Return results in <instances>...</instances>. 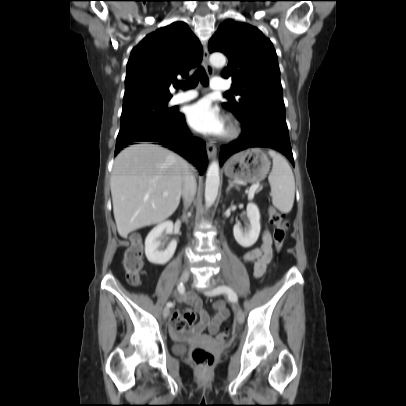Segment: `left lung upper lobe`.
I'll list each match as a JSON object with an SVG mask.
<instances>
[{
  "label": "left lung upper lobe",
  "instance_id": "5c2ea615",
  "mask_svg": "<svg viewBox=\"0 0 406 406\" xmlns=\"http://www.w3.org/2000/svg\"><path fill=\"white\" fill-rule=\"evenodd\" d=\"M208 48L228 57L222 77L232 79V90L240 96L223 103L224 108L239 120L255 113L285 117L277 55L259 29L228 19L210 39Z\"/></svg>",
  "mask_w": 406,
  "mask_h": 406
}]
</instances>
